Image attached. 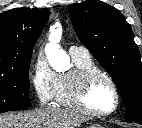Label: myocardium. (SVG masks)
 <instances>
[{
  "label": "myocardium",
  "mask_w": 142,
  "mask_h": 128,
  "mask_svg": "<svg viewBox=\"0 0 142 128\" xmlns=\"http://www.w3.org/2000/svg\"><path fill=\"white\" fill-rule=\"evenodd\" d=\"M99 78L105 79L111 86L114 96V107L105 112L92 109L87 103V95L92 84ZM69 93L72 105L82 113L94 117H107L114 114L120 105V93L113 78L100 69L74 70L69 76Z\"/></svg>",
  "instance_id": "1"
}]
</instances>
